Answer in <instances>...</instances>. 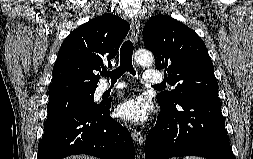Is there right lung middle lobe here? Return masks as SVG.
I'll return each mask as SVG.
<instances>
[{
	"instance_id": "right-lung-middle-lobe-1",
	"label": "right lung middle lobe",
	"mask_w": 253,
	"mask_h": 159,
	"mask_svg": "<svg viewBox=\"0 0 253 159\" xmlns=\"http://www.w3.org/2000/svg\"><path fill=\"white\" fill-rule=\"evenodd\" d=\"M93 96L94 92H88L49 100L44 129L76 111L97 108L100 104L94 102Z\"/></svg>"
}]
</instances>
